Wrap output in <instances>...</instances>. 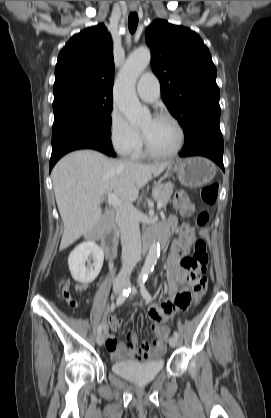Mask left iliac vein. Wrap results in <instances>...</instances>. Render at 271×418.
<instances>
[{
    "label": "left iliac vein",
    "mask_w": 271,
    "mask_h": 418,
    "mask_svg": "<svg viewBox=\"0 0 271 418\" xmlns=\"http://www.w3.org/2000/svg\"><path fill=\"white\" fill-rule=\"evenodd\" d=\"M136 292H137L136 289H133L132 294H136ZM177 344H178V339L175 336L170 337L169 345L174 348L177 346Z\"/></svg>",
    "instance_id": "obj_1"
}]
</instances>
